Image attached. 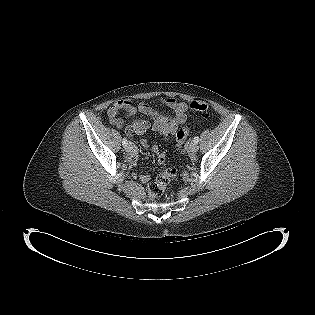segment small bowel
I'll return each instance as SVG.
<instances>
[{
  "label": "small bowel",
  "instance_id": "obj_1",
  "mask_svg": "<svg viewBox=\"0 0 315 315\" xmlns=\"http://www.w3.org/2000/svg\"><path fill=\"white\" fill-rule=\"evenodd\" d=\"M160 105L171 109L173 114H162L155 107L146 102L133 104L127 100H117L109 107L107 116L111 124L118 128H122L125 125V120L124 117L120 115L121 113H124L125 116L142 113L153 118L152 129L154 131L163 136L176 133L179 125L184 123L187 118L188 105L173 97L161 98ZM149 126L148 120L143 119L131 125L130 128L128 127L127 133L130 136H138L144 134ZM141 144L144 148L150 149L157 155L159 163L164 162V150L159 149L157 146H150L146 140H142ZM129 162L134 165L138 162V154L135 147L129 155ZM139 179L141 182L147 183L150 180V175L141 174L139 175Z\"/></svg>",
  "mask_w": 315,
  "mask_h": 315
}]
</instances>
